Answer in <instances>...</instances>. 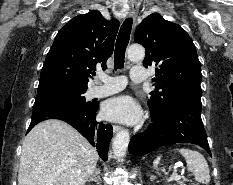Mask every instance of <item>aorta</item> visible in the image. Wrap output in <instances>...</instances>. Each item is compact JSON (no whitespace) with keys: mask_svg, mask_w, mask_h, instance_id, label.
Listing matches in <instances>:
<instances>
[{"mask_svg":"<svg viewBox=\"0 0 233 185\" xmlns=\"http://www.w3.org/2000/svg\"><path fill=\"white\" fill-rule=\"evenodd\" d=\"M145 57V50L140 45H131L127 49V58L130 61H140ZM130 141V135L127 130L119 131L112 141V149L114 153V157L118 161H123V158L126 155V151L128 148V144Z\"/></svg>","mask_w":233,"mask_h":185,"instance_id":"aorta-1","label":"aorta"}]
</instances>
